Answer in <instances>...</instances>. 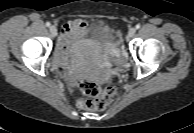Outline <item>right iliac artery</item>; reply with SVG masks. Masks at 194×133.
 Returning a JSON list of instances; mask_svg holds the SVG:
<instances>
[{
  "mask_svg": "<svg viewBox=\"0 0 194 133\" xmlns=\"http://www.w3.org/2000/svg\"><path fill=\"white\" fill-rule=\"evenodd\" d=\"M50 25H51L50 22H47V23H46V26H47V27H50Z\"/></svg>",
  "mask_w": 194,
  "mask_h": 133,
  "instance_id": "82829eb1",
  "label": "right iliac artery"
}]
</instances>
